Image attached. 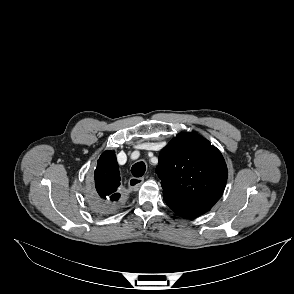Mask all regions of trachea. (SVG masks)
I'll list each match as a JSON object with an SVG mask.
<instances>
[{
  "instance_id": "obj_1",
  "label": "trachea",
  "mask_w": 294,
  "mask_h": 294,
  "mask_svg": "<svg viewBox=\"0 0 294 294\" xmlns=\"http://www.w3.org/2000/svg\"><path fill=\"white\" fill-rule=\"evenodd\" d=\"M145 171H146V166H145V163L143 161L137 162L131 168V172H132V175L134 177L143 176Z\"/></svg>"
}]
</instances>
